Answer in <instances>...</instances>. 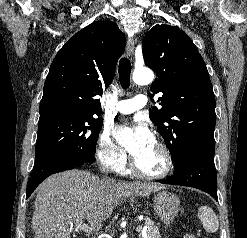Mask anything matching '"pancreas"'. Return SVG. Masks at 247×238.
I'll return each mask as SVG.
<instances>
[{
	"label": "pancreas",
	"mask_w": 247,
	"mask_h": 238,
	"mask_svg": "<svg viewBox=\"0 0 247 238\" xmlns=\"http://www.w3.org/2000/svg\"><path fill=\"white\" fill-rule=\"evenodd\" d=\"M145 223L147 225L146 236H140V238H161L158 227L152 220L147 219Z\"/></svg>",
	"instance_id": "obj_1"
}]
</instances>
